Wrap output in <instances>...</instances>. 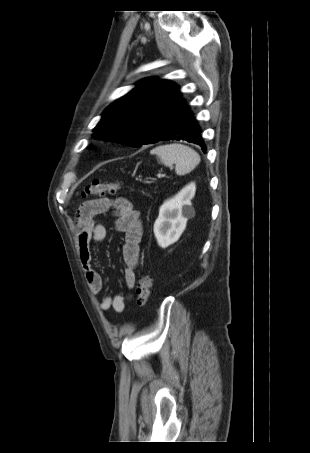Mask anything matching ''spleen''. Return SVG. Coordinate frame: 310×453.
Segmentation results:
<instances>
[{
  "label": "spleen",
  "mask_w": 310,
  "mask_h": 453,
  "mask_svg": "<svg viewBox=\"0 0 310 453\" xmlns=\"http://www.w3.org/2000/svg\"><path fill=\"white\" fill-rule=\"evenodd\" d=\"M150 153L156 155L165 166L175 164L177 175H185L191 172L200 163V155L191 147L183 144L161 145L151 150Z\"/></svg>",
  "instance_id": "3e777b00"
}]
</instances>
